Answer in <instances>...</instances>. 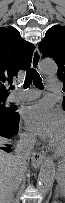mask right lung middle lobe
Instances as JSON below:
<instances>
[{"instance_id": "obj_1", "label": "right lung middle lobe", "mask_w": 65, "mask_h": 203, "mask_svg": "<svg viewBox=\"0 0 65 203\" xmlns=\"http://www.w3.org/2000/svg\"><path fill=\"white\" fill-rule=\"evenodd\" d=\"M7 96L0 97V117H11L15 116L17 114L16 108L11 106V107H6L4 105L5 99Z\"/></svg>"}]
</instances>
